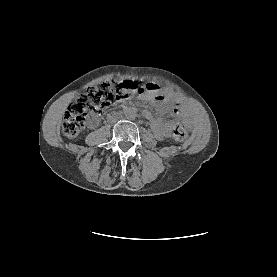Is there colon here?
<instances>
[{
    "label": "colon",
    "mask_w": 277,
    "mask_h": 277,
    "mask_svg": "<svg viewBox=\"0 0 277 277\" xmlns=\"http://www.w3.org/2000/svg\"><path fill=\"white\" fill-rule=\"evenodd\" d=\"M142 87L141 84L129 80L121 83L103 81L88 87L69 106L62 123L63 133L68 137L77 136L83 130L90 114L96 113L117 100L137 94ZM172 135L175 141L183 142L188 137V131L182 125L176 124L172 129Z\"/></svg>",
    "instance_id": "obj_1"
}]
</instances>
